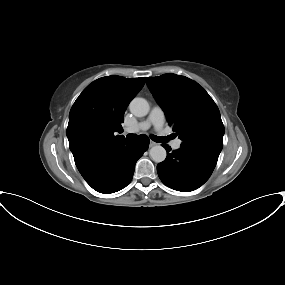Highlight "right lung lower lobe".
Here are the masks:
<instances>
[{
  "instance_id": "obj_1",
  "label": "right lung lower lobe",
  "mask_w": 285,
  "mask_h": 285,
  "mask_svg": "<svg viewBox=\"0 0 285 285\" xmlns=\"http://www.w3.org/2000/svg\"><path fill=\"white\" fill-rule=\"evenodd\" d=\"M149 147V138L140 135L135 141L121 140L94 151L76 166L85 181L96 191L110 194L127 186L137 160Z\"/></svg>"
}]
</instances>
